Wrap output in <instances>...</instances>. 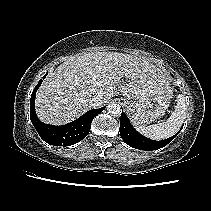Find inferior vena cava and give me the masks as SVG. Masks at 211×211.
Instances as JSON below:
<instances>
[{
    "label": "inferior vena cava",
    "mask_w": 211,
    "mask_h": 211,
    "mask_svg": "<svg viewBox=\"0 0 211 211\" xmlns=\"http://www.w3.org/2000/svg\"><path fill=\"white\" fill-rule=\"evenodd\" d=\"M102 96L101 95H95L90 101L89 104L91 107H98L102 103Z\"/></svg>",
    "instance_id": "1"
}]
</instances>
